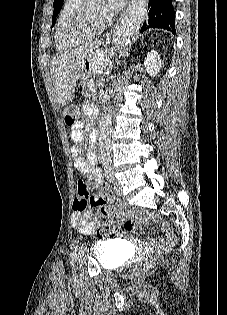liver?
Returning a JSON list of instances; mask_svg holds the SVG:
<instances>
[{
	"instance_id": "liver-1",
	"label": "liver",
	"mask_w": 227,
	"mask_h": 315,
	"mask_svg": "<svg viewBox=\"0 0 227 315\" xmlns=\"http://www.w3.org/2000/svg\"><path fill=\"white\" fill-rule=\"evenodd\" d=\"M113 55L114 48L102 49L99 42H94L54 57L50 73L58 104L65 106L72 101L76 82L89 58L92 59L93 71L102 73L111 66L110 58Z\"/></svg>"
}]
</instances>
